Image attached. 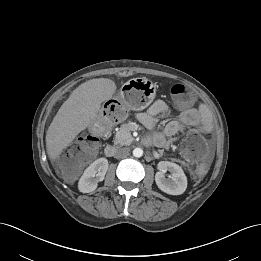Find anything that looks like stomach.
<instances>
[{
    "instance_id": "obj_1",
    "label": "stomach",
    "mask_w": 261,
    "mask_h": 261,
    "mask_svg": "<svg viewBox=\"0 0 261 261\" xmlns=\"http://www.w3.org/2000/svg\"><path fill=\"white\" fill-rule=\"evenodd\" d=\"M154 84L144 78H133L128 80L120 90L119 102L127 110L139 111L146 108L155 97ZM97 122L92 125L97 127Z\"/></svg>"
}]
</instances>
